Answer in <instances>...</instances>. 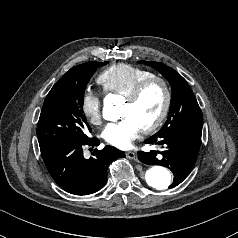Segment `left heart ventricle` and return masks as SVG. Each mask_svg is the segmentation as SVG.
Here are the masks:
<instances>
[{"mask_svg":"<svg viewBox=\"0 0 238 238\" xmlns=\"http://www.w3.org/2000/svg\"><path fill=\"white\" fill-rule=\"evenodd\" d=\"M164 101V92L159 84L150 86L136 104L125 103L122 117H132L141 128L150 124L159 114Z\"/></svg>","mask_w":238,"mask_h":238,"instance_id":"left-heart-ventricle-1","label":"left heart ventricle"}]
</instances>
